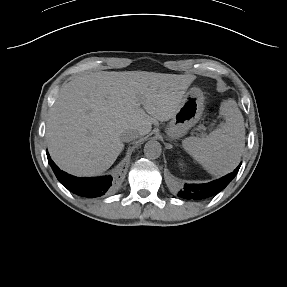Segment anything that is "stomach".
<instances>
[{
	"mask_svg": "<svg viewBox=\"0 0 287 287\" xmlns=\"http://www.w3.org/2000/svg\"><path fill=\"white\" fill-rule=\"evenodd\" d=\"M203 102L200 89L191 88L166 128V133L171 139L184 136L200 120L204 110Z\"/></svg>",
	"mask_w": 287,
	"mask_h": 287,
	"instance_id": "1",
	"label": "stomach"
}]
</instances>
